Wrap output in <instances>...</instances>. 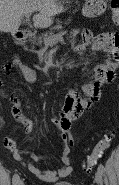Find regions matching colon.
<instances>
[{
  "label": "colon",
  "instance_id": "5ec220e1",
  "mask_svg": "<svg viewBox=\"0 0 119 185\" xmlns=\"http://www.w3.org/2000/svg\"><path fill=\"white\" fill-rule=\"evenodd\" d=\"M111 15L112 20L115 24L119 23V0H111ZM113 132L106 133L102 138H100L90 155H88L86 159L85 169L86 171H90L98 162V160L102 157L104 152L109 147V144L113 138Z\"/></svg>",
  "mask_w": 119,
  "mask_h": 185
}]
</instances>
